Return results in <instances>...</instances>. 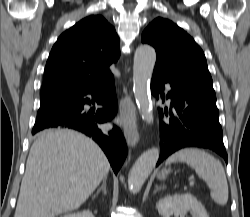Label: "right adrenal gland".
Listing matches in <instances>:
<instances>
[{
  "label": "right adrenal gland",
  "mask_w": 250,
  "mask_h": 217,
  "mask_svg": "<svg viewBox=\"0 0 250 217\" xmlns=\"http://www.w3.org/2000/svg\"><path fill=\"white\" fill-rule=\"evenodd\" d=\"M106 177L103 179V184H102V186L97 190V192H96V194L94 195V198L96 197V196H98V194L101 192V191H103V194L104 195H106V193H107V191H106Z\"/></svg>",
  "instance_id": "1"
}]
</instances>
